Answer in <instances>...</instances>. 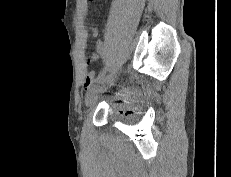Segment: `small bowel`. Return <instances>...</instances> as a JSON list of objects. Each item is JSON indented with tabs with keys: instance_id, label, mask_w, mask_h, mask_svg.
Here are the masks:
<instances>
[{
	"instance_id": "small-bowel-1",
	"label": "small bowel",
	"mask_w": 231,
	"mask_h": 177,
	"mask_svg": "<svg viewBox=\"0 0 231 177\" xmlns=\"http://www.w3.org/2000/svg\"><path fill=\"white\" fill-rule=\"evenodd\" d=\"M93 35H97L96 28H92ZM105 54V47L102 42L97 43V53L93 54L88 60L87 63H90L92 61H95L98 59L99 56H103ZM94 83V74L93 73H87L84 79V87L86 89H89L92 84Z\"/></svg>"
}]
</instances>
